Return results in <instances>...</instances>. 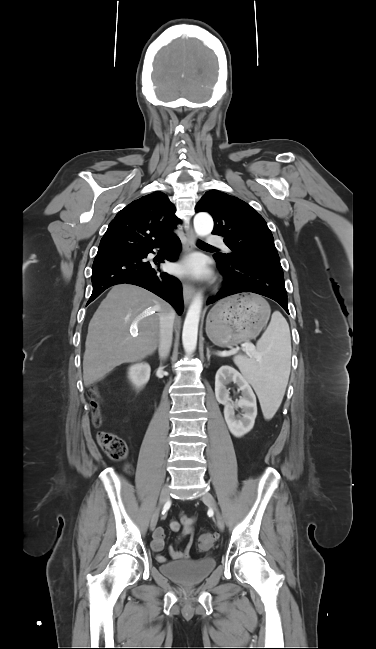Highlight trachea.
Listing matches in <instances>:
<instances>
[{
    "instance_id": "trachea-1",
    "label": "trachea",
    "mask_w": 376,
    "mask_h": 649,
    "mask_svg": "<svg viewBox=\"0 0 376 649\" xmlns=\"http://www.w3.org/2000/svg\"><path fill=\"white\" fill-rule=\"evenodd\" d=\"M198 245H199V246H203V247H212L211 245H209V244H207V243H205V242H202V241H199V242H198Z\"/></svg>"
}]
</instances>
